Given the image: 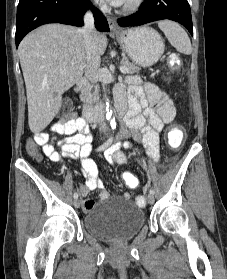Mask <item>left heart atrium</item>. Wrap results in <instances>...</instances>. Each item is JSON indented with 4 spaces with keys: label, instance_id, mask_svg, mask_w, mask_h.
<instances>
[{
    "label": "left heart atrium",
    "instance_id": "39dd6f15",
    "mask_svg": "<svg viewBox=\"0 0 227 279\" xmlns=\"http://www.w3.org/2000/svg\"><path fill=\"white\" fill-rule=\"evenodd\" d=\"M104 1H107L108 3L118 6L123 4L125 0H104Z\"/></svg>",
    "mask_w": 227,
    "mask_h": 279
}]
</instances>
